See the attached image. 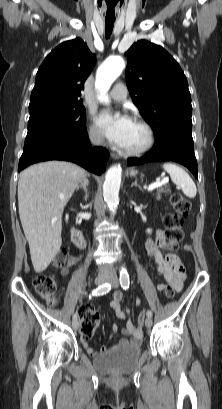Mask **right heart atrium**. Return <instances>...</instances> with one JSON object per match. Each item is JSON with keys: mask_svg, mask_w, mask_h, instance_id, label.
<instances>
[{"mask_svg": "<svg viewBox=\"0 0 222 409\" xmlns=\"http://www.w3.org/2000/svg\"><path fill=\"white\" fill-rule=\"evenodd\" d=\"M88 137L91 143L96 146H105L106 144L101 131L94 124L88 127Z\"/></svg>", "mask_w": 222, "mask_h": 409, "instance_id": "right-heart-atrium-1", "label": "right heart atrium"}]
</instances>
